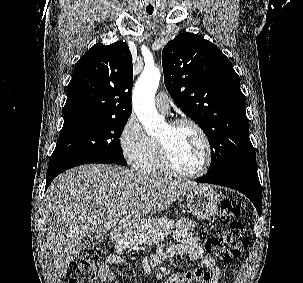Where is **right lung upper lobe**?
I'll return each mask as SVG.
<instances>
[{
    "instance_id": "cb5924a9",
    "label": "right lung upper lobe",
    "mask_w": 303,
    "mask_h": 283,
    "mask_svg": "<svg viewBox=\"0 0 303 283\" xmlns=\"http://www.w3.org/2000/svg\"><path fill=\"white\" fill-rule=\"evenodd\" d=\"M133 85L132 56L128 45L95 44L75 64L67 87L64 117L92 114L129 118Z\"/></svg>"
}]
</instances>
